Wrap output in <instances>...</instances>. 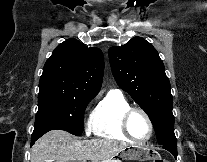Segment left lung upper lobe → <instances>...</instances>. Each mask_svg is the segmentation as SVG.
Returning a JSON list of instances; mask_svg holds the SVG:
<instances>
[{
	"mask_svg": "<svg viewBox=\"0 0 207 162\" xmlns=\"http://www.w3.org/2000/svg\"><path fill=\"white\" fill-rule=\"evenodd\" d=\"M113 75L150 117L159 144L176 140L169 80L158 52L145 39L132 38L108 51Z\"/></svg>",
	"mask_w": 207,
	"mask_h": 162,
	"instance_id": "left-lung-upper-lobe-1",
	"label": "left lung upper lobe"
}]
</instances>
